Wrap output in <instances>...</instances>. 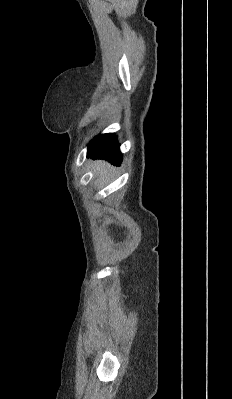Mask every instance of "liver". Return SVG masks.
I'll return each instance as SVG.
<instances>
[{
    "label": "liver",
    "mask_w": 232,
    "mask_h": 399,
    "mask_svg": "<svg viewBox=\"0 0 232 399\" xmlns=\"http://www.w3.org/2000/svg\"><path fill=\"white\" fill-rule=\"evenodd\" d=\"M95 166L97 168V174H100V176H107L109 170H112V166H109L107 162H96Z\"/></svg>",
    "instance_id": "liver-1"
}]
</instances>
